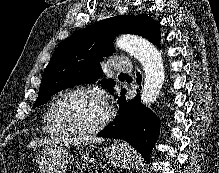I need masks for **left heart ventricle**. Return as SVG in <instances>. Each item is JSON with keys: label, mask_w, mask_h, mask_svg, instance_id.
I'll use <instances>...</instances> for the list:
<instances>
[{"label": "left heart ventricle", "mask_w": 219, "mask_h": 173, "mask_svg": "<svg viewBox=\"0 0 219 173\" xmlns=\"http://www.w3.org/2000/svg\"><path fill=\"white\" fill-rule=\"evenodd\" d=\"M106 113L104 102L96 95L79 93L71 96L62 109L64 122L73 129H88L98 124Z\"/></svg>", "instance_id": "obj_1"}]
</instances>
